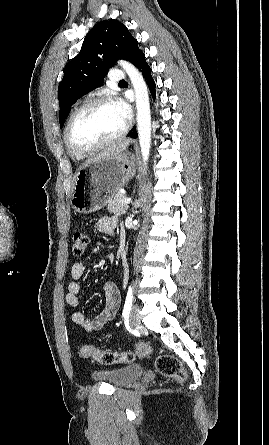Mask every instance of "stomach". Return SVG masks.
Segmentation results:
<instances>
[{
	"label": "stomach",
	"instance_id": "stomach-1",
	"mask_svg": "<svg viewBox=\"0 0 269 445\" xmlns=\"http://www.w3.org/2000/svg\"><path fill=\"white\" fill-rule=\"evenodd\" d=\"M136 160L125 152L101 158L80 168L72 190V208L81 214L102 209L112 196L135 175Z\"/></svg>",
	"mask_w": 269,
	"mask_h": 445
}]
</instances>
